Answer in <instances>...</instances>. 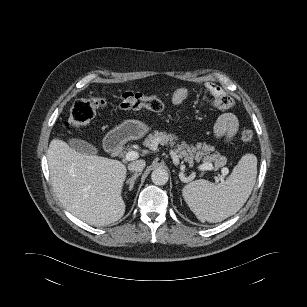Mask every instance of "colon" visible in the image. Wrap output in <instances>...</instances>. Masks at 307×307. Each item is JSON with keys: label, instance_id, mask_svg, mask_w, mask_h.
<instances>
[{"label": "colon", "instance_id": "1", "mask_svg": "<svg viewBox=\"0 0 307 307\" xmlns=\"http://www.w3.org/2000/svg\"><path fill=\"white\" fill-rule=\"evenodd\" d=\"M110 104L109 97L102 92L79 99L71 107L66 126L80 129L95 117L99 109ZM118 105L124 110L147 109L155 112L162 111L165 108V103L160 97L136 92L123 93L119 98ZM239 137L243 142L249 143L254 139V132L243 128L240 130Z\"/></svg>", "mask_w": 307, "mask_h": 307}]
</instances>
